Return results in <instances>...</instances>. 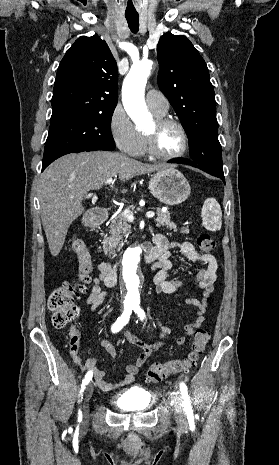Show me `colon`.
<instances>
[{
  "label": "colon",
  "instance_id": "5ec220e1",
  "mask_svg": "<svg viewBox=\"0 0 279 465\" xmlns=\"http://www.w3.org/2000/svg\"><path fill=\"white\" fill-rule=\"evenodd\" d=\"M200 251L209 254L215 248V242L207 233H201L196 239ZM71 251L77 256L78 271L76 278L66 281L55 288L49 296L48 307L52 312V324L57 329L65 328L76 322L80 317V310L75 301L80 294L87 291V285L91 281L92 263L91 254L81 239H74L70 245ZM210 340L208 331L202 328L196 329L193 336L191 350L186 357L174 359L165 363H154L147 371V378L153 383H158L171 374L184 372L192 367L204 353ZM79 336L75 330L71 332V350L78 349Z\"/></svg>",
  "mask_w": 279,
  "mask_h": 465
}]
</instances>
